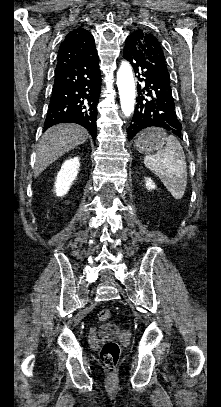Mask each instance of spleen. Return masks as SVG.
<instances>
[{
	"label": "spleen",
	"instance_id": "spleen-1",
	"mask_svg": "<svg viewBox=\"0 0 221 407\" xmlns=\"http://www.w3.org/2000/svg\"><path fill=\"white\" fill-rule=\"evenodd\" d=\"M166 146L144 157L145 166L157 175L175 199H181L187 186V166L182 146L172 135L165 138Z\"/></svg>",
	"mask_w": 221,
	"mask_h": 407
}]
</instances>
